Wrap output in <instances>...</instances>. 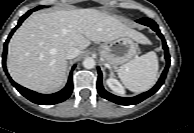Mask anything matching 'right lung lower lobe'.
<instances>
[{"instance_id": "1", "label": "right lung lower lobe", "mask_w": 194, "mask_h": 133, "mask_svg": "<svg viewBox=\"0 0 194 133\" xmlns=\"http://www.w3.org/2000/svg\"><path fill=\"white\" fill-rule=\"evenodd\" d=\"M31 12H33V9L29 10L25 15H23L20 18L18 25L11 31V33L9 34V36L4 44L3 61H2L3 69H4L5 73L7 74L9 80L11 81L12 85L24 97H26L27 99H29L30 101H32L33 103H36V104L52 105V104H56V103H59V102L66 100L71 95L72 90H73L72 73H70L68 83L64 89H62L61 91H59L57 93L46 95V94H40V93L31 91L27 88H24V87L18 85L10 78V76L6 70V54H7L8 41L10 40V37L12 36L14 31L21 25V23L24 21V19H26L31 14ZM74 68H75V65L73 66L72 69H74Z\"/></svg>"}]
</instances>
